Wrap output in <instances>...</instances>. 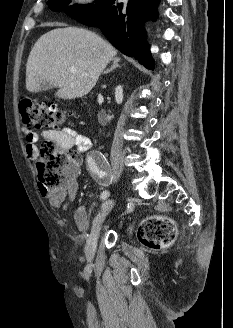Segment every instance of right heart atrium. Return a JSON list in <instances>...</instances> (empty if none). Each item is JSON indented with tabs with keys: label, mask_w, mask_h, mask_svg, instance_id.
Masks as SVG:
<instances>
[{
	"label": "right heart atrium",
	"mask_w": 233,
	"mask_h": 328,
	"mask_svg": "<svg viewBox=\"0 0 233 328\" xmlns=\"http://www.w3.org/2000/svg\"><path fill=\"white\" fill-rule=\"evenodd\" d=\"M75 2L80 5H89L93 2V0H75Z\"/></svg>",
	"instance_id": "d8ad5b80"
}]
</instances>
